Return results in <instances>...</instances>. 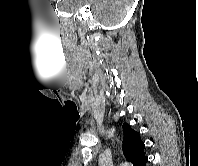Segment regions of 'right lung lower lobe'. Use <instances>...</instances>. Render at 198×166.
<instances>
[{"instance_id":"98d812e1","label":"right lung lower lobe","mask_w":198,"mask_h":166,"mask_svg":"<svg viewBox=\"0 0 198 166\" xmlns=\"http://www.w3.org/2000/svg\"><path fill=\"white\" fill-rule=\"evenodd\" d=\"M147 161H148V158L145 160V162L142 164V166H146Z\"/></svg>"}]
</instances>
